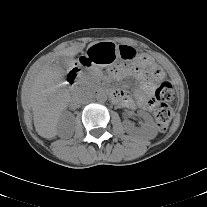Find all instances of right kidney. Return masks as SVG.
<instances>
[{
	"instance_id": "right-kidney-1",
	"label": "right kidney",
	"mask_w": 207,
	"mask_h": 207,
	"mask_svg": "<svg viewBox=\"0 0 207 207\" xmlns=\"http://www.w3.org/2000/svg\"><path fill=\"white\" fill-rule=\"evenodd\" d=\"M69 119H71V115L70 114H68V113L62 114L61 117H60L58 125L60 127H63L65 125H67Z\"/></svg>"
}]
</instances>
